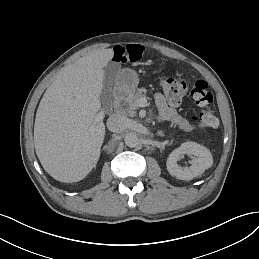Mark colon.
I'll return each mask as SVG.
<instances>
[{
  "instance_id": "5ec220e1",
  "label": "colon",
  "mask_w": 259,
  "mask_h": 259,
  "mask_svg": "<svg viewBox=\"0 0 259 259\" xmlns=\"http://www.w3.org/2000/svg\"><path fill=\"white\" fill-rule=\"evenodd\" d=\"M160 87L174 105H178L187 93L191 95L200 107V111L192 117L199 127L218 126L213 108V96L204 80L199 79L189 86L183 78H165L161 80Z\"/></svg>"
}]
</instances>
